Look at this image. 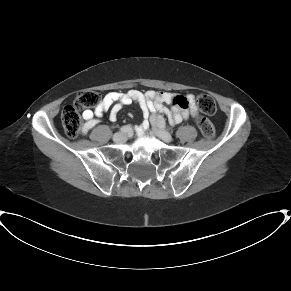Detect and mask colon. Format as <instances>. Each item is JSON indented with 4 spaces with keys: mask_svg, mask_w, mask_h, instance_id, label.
Listing matches in <instances>:
<instances>
[{
    "mask_svg": "<svg viewBox=\"0 0 291 291\" xmlns=\"http://www.w3.org/2000/svg\"><path fill=\"white\" fill-rule=\"evenodd\" d=\"M101 103V95L95 90H84L79 92L72 105L66 106L61 113L62 126L70 138H75L83 130L81 111L97 107ZM197 104L206 114H214L217 106L214 98L209 94L198 96ZM199 128L206 138L214 136L213 124L205 117L198 118Z\"/></svg>",
    "mask_w": 291,
    "mask_h": 291,
    "instance_id": "obj_1",
    "label": "colon"
}]
</instances>
